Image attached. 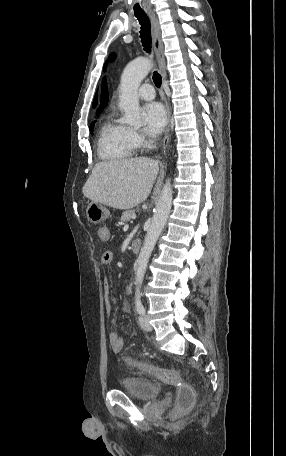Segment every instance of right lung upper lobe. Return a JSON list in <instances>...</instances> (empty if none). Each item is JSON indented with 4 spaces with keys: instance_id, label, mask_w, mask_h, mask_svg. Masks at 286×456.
<instances>
[{
    "instance_id": "cb5924a9",
    "label": "right lung upper lobe",
    "mask_w": 286,
    "mask_h": 456,
    "mask_svg": "<svg viewBox=\"0 0 286 456\" xmlns=\"http://www.w3.org/2000/svg\"><path fill=\"white\" fill-rule=\"evenodd\" d=\"M100 103H101V106H100V109L98 110V113L101 112V107H106L107 104H108V89H107V85H106V81L104 80L103 81V85H102V93H101V100H100Z\"/></svg>"
}]
</instances>
